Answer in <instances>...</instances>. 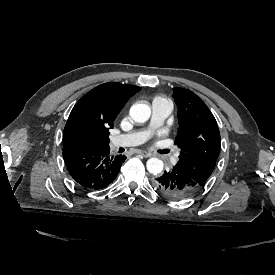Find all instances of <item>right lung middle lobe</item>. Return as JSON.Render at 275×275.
<instances>
[{
    "label": "right lung middle lobe",
    "mask_w": 275,
    "mask_h": 275,
    "mask_svg": "<svg viewBox=\"0 0 275 275\" xmlns=\"http://www.w3.org/2000/svg\"><path fill=\"white\" fill-rule=\"evenodd\" d=\"M108 131H83L78 137V146H108Z\"/></svg>",
    "instance_id": "obj_1"
}]
</instances>
